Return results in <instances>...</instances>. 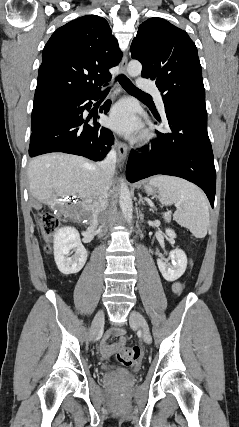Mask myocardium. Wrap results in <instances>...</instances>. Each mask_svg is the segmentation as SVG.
Returning a JSON list of instances; mask_svg holds the SVG:
<instances>
[{"instance_id":"obj_1","label":"myocardium","mask_w":239,"mask_h":427,"mask_svg":"<svg viewBox=\"0 0 239 427\" xmlns=\"http://www.w3.org/2000/svg\"><path fill=\"white\" fill-rule=\"evenodd\" d=\"M151 138H152L151 135H149V134L145 135L144 142H149L151 140Z\"/></svg>"}]
</instances>
